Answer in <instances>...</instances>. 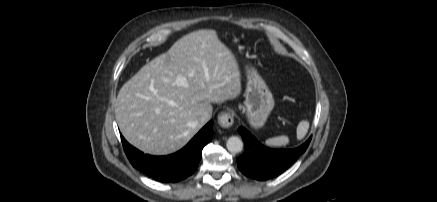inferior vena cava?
<instances>
[{
	"mask_svg": "<svg viewBox=\"0 0 437 202\" xmlns=\"http://www.w3.org/2000/svg\"><path fill=\"white\" fill-rule=\"evenodd\" d=\"M211 118V114L204 112L200 117V122L204 125L207 123Z\"/></svg>",
	"mask_w": 437,
	"mask_h": 202,
	"instance_id": "602c4592",
	"label": "inferior vena cava"
}]
</instances>
